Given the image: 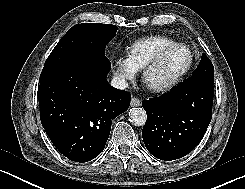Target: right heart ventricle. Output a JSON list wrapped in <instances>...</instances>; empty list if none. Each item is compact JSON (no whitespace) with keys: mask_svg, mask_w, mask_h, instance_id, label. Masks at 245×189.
Instances as JSON below:
<instances>
[{"mask_svg":"<svg viewBox=\"0 0 245 189\" xmlns=\"http://www.w3.org/2000/svg\"><path fill=\"white\" fill-rule=\"evenodd\" d=\"M176 43L164 35L144 37L130 43L127 48V58L131 64L140 70L150 62L164 47Z\"/></svg>","mask_w":245,"mask_h":189,"instance_id":"right-heart-ventricle-1","label":"right heart ventricle"}]
</instances>
